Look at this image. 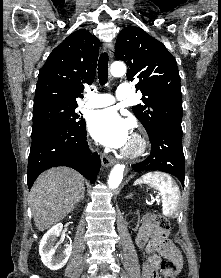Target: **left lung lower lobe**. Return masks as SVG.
<instances>
[{
    "instance_id": "1",
    "label": "left lung lower lobe",
    "mask_w": 221,
    "mask_h": 278,
    "mask_svg": "<svg viewBox=\"0 0 221 278\" xmlns=\"http://www.w3.org/2000/svg\"><path fill=\"white\" fill-rule=\"evenodd\" d=\"M151 153L134 171L159 170L176 176L184 186L185 157L182 149V128L177 125H159L148 133Z\"/></svg>"
}]
</instances>
